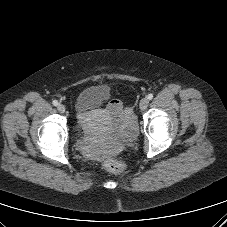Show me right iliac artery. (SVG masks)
<instances>
[{
	"instance_id": "1",
	"label": "right iliac artery",
	"mask_w": 227,
	"mask_h": 227,
	"mask_svg": "<svg viewBox=\"0 0 227 227\" xmlns=\"http://www.w3.org/2000/svg\"><path fill=\"white\" fill-rule=\"evenodd\" d=\"M52 104H53L54 106H57L59 103H58L57 100H54V101L52 102Z\"/></svg>"
}]
</instances>
